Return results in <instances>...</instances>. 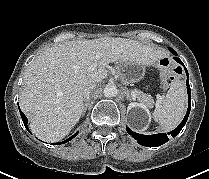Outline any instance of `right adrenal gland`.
Returning a JSON list of instances; mask_svg holds the SVG:
<instances>
[{
  "label": "right adrenal gland",
  "mask_w": 209,
  "mask_h": 179,
  "mask_svg": "<svg viewBox=\"0 0 209 179\" xmlns=\"http://www.w3.org/2000/svg\"><path fill=\"white\" fill-rule=\"evenodd\" d=\"M90 101H91V98L89 97V99L85 102V105H84V109H83V113H82V115H84V114H85V112H86V110H87V107H88V105H89Z\"/></svg>",
  "instance_id": "right-adrenal-gland-1"
}]
</instances>
